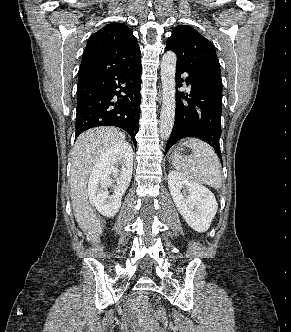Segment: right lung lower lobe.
I'll return each instance as SVG.
<instances>
[{
	"label": "right lung lower lobe",
	"mask_w": 291,
	"mask_h": 332,
	"mask_svg": "<svg viewBox=\"0 0 291 332\" xmlns=\"http://www.w3.org/2000/svg\"><path fill=\"white\" fill-rule=\"evenodd\" d=\"M140 61L78 78L76 138L93 127L116 126L127 131L136 146L141 103Z\"/></svg>",
	"instance_id": "1"
}]
</instances>
